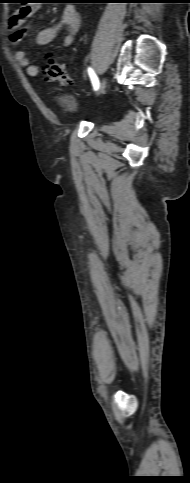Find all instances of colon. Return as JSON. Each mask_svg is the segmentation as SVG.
Returning a JSON list of instances; mask_svg holds the SVG:
<instances>
[{"label": "colon", "instance_id": "colon-1", "mask_svg": "<svg viewBox=\"0 0 190 483\" xmlns=\"http://www.w3.org/2000/svg\"><path fill=\"white\" fill-rule=\"evenodd\" d=\"M42 75L47 81L59 82L64 85L72 83V78L67 74L63 65L54 60H48L45 63Z\"/></svg>", "mask_w": 190, "mask_h": 483}]
</instances>
